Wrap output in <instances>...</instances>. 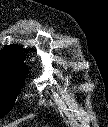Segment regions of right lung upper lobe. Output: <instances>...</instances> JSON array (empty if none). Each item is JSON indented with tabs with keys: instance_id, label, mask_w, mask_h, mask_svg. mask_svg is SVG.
Here are the masks:
<instances>
[{
	"instance_id": "1",
	"label": "right lung upper lobe",
	"mask_w": 108,
	"mask_h": 127,
	"mask_svg": "<svg viewBox=\"0 0 108 127\" xmlns=\"http://www.w3.org/2000/svg\"><path fill=\"white\" fill-rule=\"evenodd\" d=\"M25 53L22 49L17 46L16 44L6 46L0 53V62L1 64H8V63H16L20 65H25ZM0 64V65H1Z\"/></svg>"
}]
</instances>
